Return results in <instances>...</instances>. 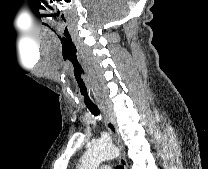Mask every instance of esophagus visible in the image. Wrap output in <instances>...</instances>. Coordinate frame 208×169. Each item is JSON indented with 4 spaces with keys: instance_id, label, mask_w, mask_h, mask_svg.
<instances>
[{
    "instance_id": "1",
    "label": "esophagus",
    "mask_w": 208,
    "mask_h": 169,
    "mask_svg": "<svg viewBox=\"0 0 208 169\" xmlns=\"http://www.w3.org/2000/svg\"><path fill=\"white\" fill-rule=\"evenodd\" d=\"M99 108L101 112L103 113L105 126L107 127L111 135L113 136L117 146L119 147V150L121 151L122 144H121L120 136H119L115 121L111 117L110 112L107 109V107L100 105ZM119 163L123 167V169H127V161L121 155L119 156Z\"/></svg>"
}]
</instances>
